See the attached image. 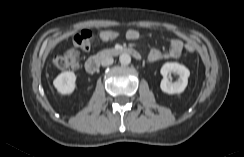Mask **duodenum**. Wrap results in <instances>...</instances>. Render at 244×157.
Instances as JSON below:
<instances>
[{
	"mask_svg": "<svg viewBox=\"0 0 244 157\" xmlns=\"http://www.w3.org/2000/svg\"><path fill=\"white\" fill-rule=\"evenodd\" d=\"M122 54L131 55L136 59L141 58L140 53L133 48H129V47L112 48V49L104 50L99 54L88 58L85 63V69L89 73H95L99 69L101 60L103 58L110 57V56H118Z\"/></svg>",
	"mask_w": 244,
	"mask_h": 157,
	"instance_id": "410a0bca",
	"label": "duodenum"
}]
</instances>
